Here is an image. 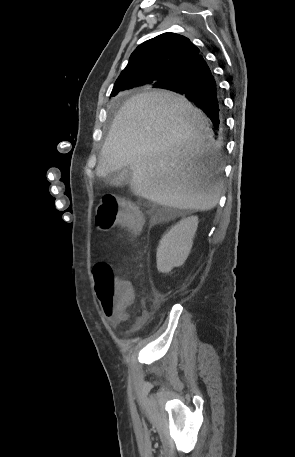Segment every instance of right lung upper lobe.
<instances>
[{
    "instance_id": "right-lung-upper-lobe-1",
    "label": "right lung upper lobe",
    "mask_w": 295,
    "mask_h": 457,
    "mask_svg": "<svg viewBox=\"0 0 295 457\" xmlns=\"http://www.w3.org/2000/svg\"><path fill=\"white\" fill-rule=\"evenodd\" d=\"M199 52L188 38L171 32L145 41L131 54L112 92L118 93L136 84L155 87L174 80L184 66L200 55Z\"/></svg>"
}]
</instances>
